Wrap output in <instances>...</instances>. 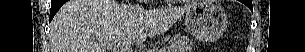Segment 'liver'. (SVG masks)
I'll return each mask as SVG.
<instances>
[{
  "label": "liver",
  "instance_id": "liver-1",
  "mask_svg": "<svg viewBox=\"0 0 305 52\" xmlns=\"http://www.w3.org/2000/svg\"><path fill=\"white\" fill-rule=\"evenodd\" d=\"M192 5L145 10L113 0H69L51 22V52H107L168 30Z\"/></svg>",
  "mask_w": 305,
  "mask_h": 52
}]
</instances>
